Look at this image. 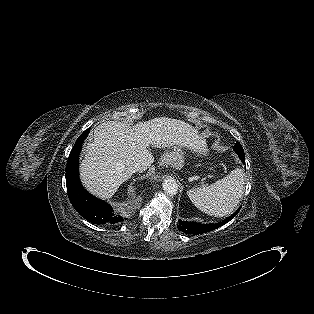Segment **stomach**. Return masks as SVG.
<instances>
[{
    "label": "stomach",
    "mask_w": 314,
    "mask_h": 314,
    "mask_svg": "<svg viewBox=\"0 0 314 314\" xmlns=\"http://www.w3.org/2000/svg\"><path fill=\"white\" fill-rule=\"evenodd\" d=\"M164 162L175 168H181L184 165V151L182 150V147H172L171 150L165 153Z\"/></svg>",
    "instance_id": "0dacf381"
}]
</instances>
